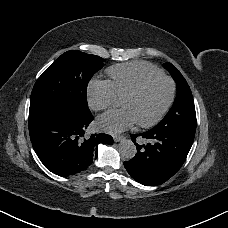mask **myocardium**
<instances>
[{
    "label": "myocardium",
    "mask_w": 228,
    "mask_h": 228,
    "mask_svg": "<svg viewBox=\"0 0 228 228\" xmlns=\"http://www.w3.org/2000/svg\"><path fill=\"white\" fill-rule=\"evenodd\" d=\"M159 80H164L168 83L169 86V90H168V96L163 104V106L161 107L160 111L155 115L154 118H152L150 121L148 122H138V125L144 128H149L152 127L154 125H156L165 115V113L167 112L168 108L170 107L172 100H173V96H174V83L173 81L164 75H159L156 77H152V78H148L146 79L136 90H134L132 93L128 94L126 96V99H131V98H136L137 96L140 95V93L147 87L149 86L151 83L159 81Z\"/></svg>",
    "instance_id": "f54148a6"
}]
</instances>
